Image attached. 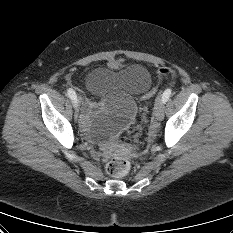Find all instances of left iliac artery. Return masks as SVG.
<instances>
[{"label": "left iliac artery", "instance_id": "left-iliac-artery-1", "mask_svg": "<svg viewBox=\"0 0 233 233\" xmlns=\"http://www.w3.org/2000/svg\"><path fill=\"white\" fill-rule=\"evenodd\" d=\"M171 91H172V90H171L170 88H168V89H166V90L164 91V93L162 94V100H163L164 103L168 101V99H169V97H170V95H171Z\"/></svg>", "mask_w": 233, "mask_h": 233}]
</instances>
